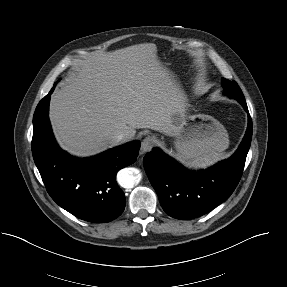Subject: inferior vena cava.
I'll return each instance as SVG.
<instances>
[{
    "instance_id": "602c4592",
    "label": "inferior vena cava",
    "mask_w": 287,
    "mask_h": 287,
    "mask_svg": "<svg viewBox=\"0 0 287 287\" xmlns=\"http://www.w3.org/2000/svg\"><path fill=\"white\" fill-rule=\"evenodd\" d=\"M111 141L114 145H117L119 143L128 141V137L125 134L120 133L112 136Z\"/></svg>"
}]
</instances>
